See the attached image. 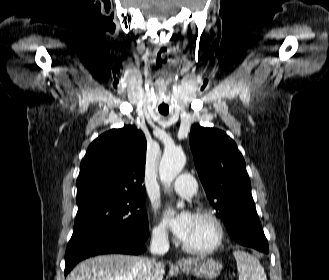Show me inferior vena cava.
I'll return each instance as SVG.
<instances>
[{
    "instance_id": "obj_1",
    "label": "inferior vena cava",
    "mask_w": 329,
    "mask_h": 280,
    "mask_svg": "<svg viewBox=\"0 0 329 280\" xmlns=\"http://www.w3.org/2000/svg\"><path fill=\"white\" fill-rule=\"evenodd\" d=\"M169 250L168 235L164 230H155L152 233V239L150 244V251L153 255H164ZM162 264L153 259H142L141 268V279L142 280H153L154 271L158 270Z\"/></svg>"
}]
</instances>
